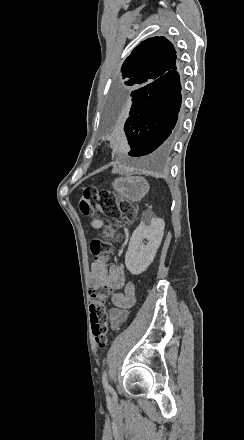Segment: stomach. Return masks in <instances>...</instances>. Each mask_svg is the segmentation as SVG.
<instances>
[{
	"label": "stomach",
	"instance_id": "1",
	"mask_svg": "<svg viewBox=\"0 0 244 440\" xmlns=\"http://www.w3.org/2000/svg\"><path fill=\"white\" fill-rule=\"evenodd\" d=\"M112 188L121 200L125 202H140L150 190V186L142 176H126L116 178L112 182Z\"/></svg>",
	"mask_w": 244,
	"mask_h": 440
}]
</instances>
